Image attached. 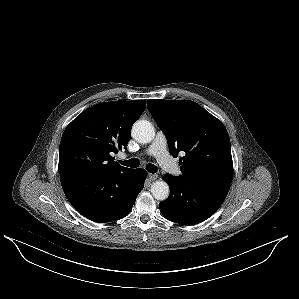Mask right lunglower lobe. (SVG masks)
Segmentation results:
<instances>
[{"mask_svg":"<svg viewBox=\"0 0 299 299\" xmlns=\"http://www.w3.org/2000/svg\"><path fill=\"white\" fill-rule=\"evenodd\" d=\"M147 173L135 169L126 173H107L93 178L61 179L64 193L72 206L94 222H110L128 215Z\"/></svg>","mask_w":299,"mask_h":299,"instance_id":"obj_1","label":"right lung lower lobe"}]
</instances>
